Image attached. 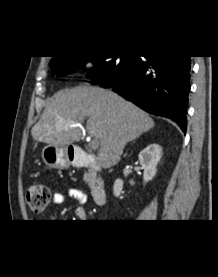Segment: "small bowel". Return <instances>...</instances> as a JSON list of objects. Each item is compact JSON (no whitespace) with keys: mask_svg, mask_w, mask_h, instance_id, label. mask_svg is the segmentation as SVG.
Listing matches in <instances>:
<instances>
[{"mask_svg":"<svg viewBox=\"0 0 218 277\" xmlns=\"http://www.w3.org/2000/svg\"><path fill=\"white\" fill-rule=\"evenodd\" d=\"M66 197L76 201L79 204L75 210V213L79 219L84 220L86 218L84 205L88 201L86 193L78 188H70L67 190L66 194L56 192L52 196L53 206L55 207L62 206L65 202Z\"/></svg>","mask_w":218,"mask_h":277,"instance_id":"1","label":"small bowel"}]
</instances>
